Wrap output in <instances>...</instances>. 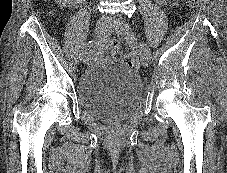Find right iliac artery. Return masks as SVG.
I'll return each instance as SVG.
<instances>
[{
	"label": "right iliac artery",
	"mask_w": 227,
	"mask_h": 173,
	"mask_svg": "<svg viewBox=\"0 0 227 173\" xmlns=\"http://www.w3.org/2000/svg\"><path fill=\"white\" fill-rule=\"evenodd\" d=\"M109 36V33H104V37H101L99 41H89L82 52L81 58L88 53V51L95 45L96 47H105V42H107V37Z\"/></svg>",
	"instance_id": "82829eb1"
}]
</instances>
